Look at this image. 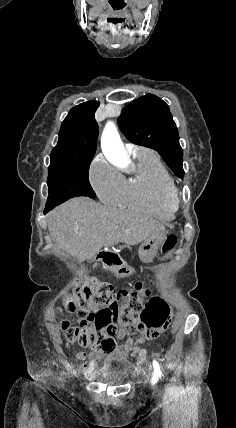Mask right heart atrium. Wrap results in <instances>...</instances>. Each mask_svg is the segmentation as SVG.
I'll return each instance as SVG.
<instances>
[{"instance_id": "1", "label": "right heart atrium", "mask_w": 236, "mask_h": 428, "mask_svg": "<svg viewBox=\"0 0 236 428\" xmlns=\"http://www.w3.org/2000/svg\"><path fill=\"white\" fill-rule=\"evenodd\" d=\"M89 182L96 196L104 205L116 206L122 202L125 179L101 155L94 158L90 164Z\"/></svg>"}]
</instances>
